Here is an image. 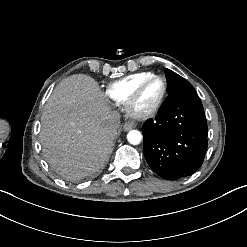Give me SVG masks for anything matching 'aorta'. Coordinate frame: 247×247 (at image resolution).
Wrapping results in <instances>:
<instances>
[{"label":"aorta","mask_w":247,"mask_h":247,"mask_svg":"<svg viewBox=\"0 0 247 247\" xmlns=\"http://www.w3.org/2000/svg\"><path fill=\"white\" fill-rule=\"evenodd\" d=\"M127 139L131 144L137 145L142 140V134L138 130H132L127 134Z\"/></svg>","instance_id":"1"}]
</instances>
